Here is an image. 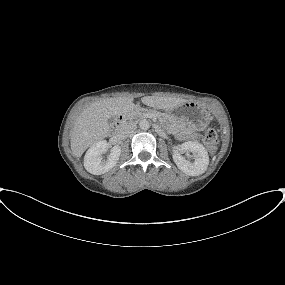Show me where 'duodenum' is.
I'll list each match as a JSON object with an SVG mask.
<instances>
[{
  "label": "duodenum",
  "instance_id": "410a0bca",
  "mask_svg": "<svg viewBox=\"0 0 285 285\" xmlns=\"http://www.w3.org/2000/svg\"><path fill=\"white\" fill-rule=\"evenodd\" d=\"M130 113L133 114L134 111H131ZM127 118L128 112H120L116 114L115 121L112 126V132L114 133V135H119L126 128Z\"/></svg>",
  "mask_w": 285,
  "mask_h": 285
}]
</instances>
